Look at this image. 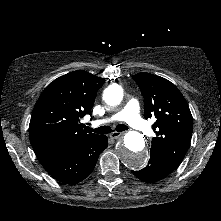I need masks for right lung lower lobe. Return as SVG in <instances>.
I'll return each mask as SVG.
<instances>
[{"instance_id": "right-lung-lower-lobe-1", "label": "right lung lower lobe", "mask_w": 221, "mask_h": 221, "mask_svg": "<svg viewBox=\"0 0 221 221\" xmlns=\"http://www.w3.org/2000/svg\"><path fill=\"white\" fill-rule=\"evenodd\" d=\"M107 141L105 135H99L74 146L39 152L36 155L54 179L67 184H76L92 173L99 154L108 145Z\"/></svg>"}]
</instances>
